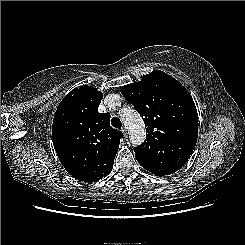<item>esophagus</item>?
<instances>
[{
    "label": "esophagus",
    "instance_id": "34e87169",
    "mask_svg": "<svg viewBox=\"0 0 245 245\" xmlns=\"http://www.w3.org/2000/svg\"><path fill=\"white\" fill-rule=\"evenodd\" d=\"M121 131H122V133H123V135H124V137H128V132H127V129L125 128V127H122V129H121Z\"/></svg>",
    "mask_w": 245,
    "mask_h": 245
}]
</instances>
